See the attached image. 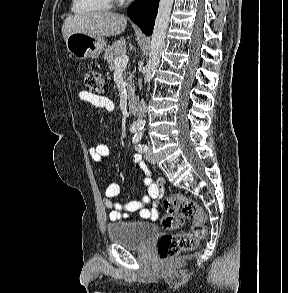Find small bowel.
Masks as SVG:
<instances>
[{
  "label": "small bowel",
  "instance_id": "1",
  "mask_svg": "<svg viewBox=\"0 0 288 293\" xmlns=\"http://www.w3.org/2000/svg\"><path fill=\"white\" fill-rule=\"evenodd\" d=\"M79 98L88 102L94 107L104 109L108 112L115 110L114 102L104 93H92L81 91ZM91 158L100 163L109 155V147L106 144H97L89 148ZM134 163L138 164L142 171L143 183L147 190V195L141 200H132L126 204H121L114 200L120 193V186L117 183H110L104 190L105 205L110 210L109 219L113 222L121 219L131 220L132 213L139 211L141 219L156 220L158 218L157 203L162 198L159 186L153 181L152 172L145 164L140 154H134L132 157ZM152 204L151 208L146 206Z\"/></svg>",
  "mask_w": 288,
  "mask_h": 293
}]
</instances>
